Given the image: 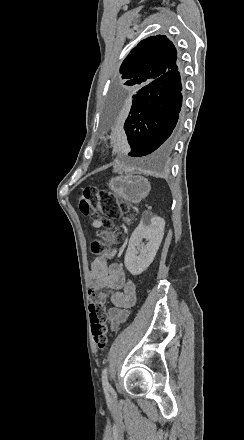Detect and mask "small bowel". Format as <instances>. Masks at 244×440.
I'll use <instances>...</instances> for the list:
<instances>
[{
    "label": "small bowel",
    "instance_id": "small-bowel-1",
    "mask_svg": "<svg viewBox=\"0 0 244 440\" xmlns=\"http://www.w3.org/2000/svg\"><path fill=\"white\" fill-rule=\"evenodd\" d=\"M91 225L99 229L102 223L99 220H93ZM116 253V249L103 251L91 262L89 269L90 283L94 288L104 286L113 291L112 307L108 311L111 331H117L120 325L128 319L131 308L137 302L136 285L127 280L124 270L118 264L109 263Z\"/></svg>",
    "mask_w": 244,
    "mask_h": 440
}]
</instances>
